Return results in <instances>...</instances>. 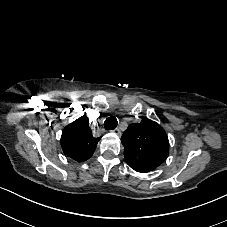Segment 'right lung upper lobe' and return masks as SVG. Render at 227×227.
<instances>
[{"label": "right lung upper lobe", "instance_id": "right-lung-upper-lobe-1", "mask_svg": "<svg viewBox=\"0 0 227 227\" xmlns=\"http://www.w3.org/2000/svg\"><path fill=\"white\" fill-rule=\"evenodd\" d=\"M99 140L93 137L88 118L82 116L64 128L61 145L68 157L83 162L92 156Z\"/></svg>", "mask_w": 227, "mask_h": 227}]
</instances>
